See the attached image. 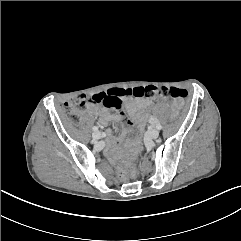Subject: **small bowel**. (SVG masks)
<instances>
[{"mask_svg":"<svg viewBox=\"0 0 241 241\" xmlns=\"http://www.w3.org/2000/svg\"><path fill=\"white\" fill-rule=\"evenodd\" d=\"M124 105L128 111V113L130 114V116L134 119L137 120H141L145 113L147 112L149 106H150V102L147 100H134L132 98H128L125 102ZM103 108H101L100 110H96V108L94 106H90L88 108V113H94L97 112V116H98V121L101 124H106L109 120H115L117 122L121 121L122 119H124V116L122 114H115L112 115L108 112L109 108L112 109H116L110 106H106V105H102ZM123 106V100H121L119 108L116 110H120ZM123 134H125V132L123 131ZM122 142L120 140H116V139H110L108 141V147L110 149H113L119 145H121Z\"/></svg>","mask_w":241,"mask_h":241,"instance_id":"1","label":"small bowel"}]
</instances>
